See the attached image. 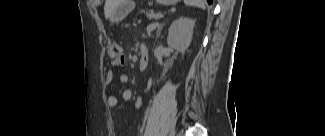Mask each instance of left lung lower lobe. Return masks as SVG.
Instances as JSON below:
<instances>
[{"mask_svg": "<svg viewBox=\"0 0 325 136\" xmlns=\"http://www.w3.org/2000/svg\"><path fill=\"white\" fill-rule=\"evenodd\" d=\"M207 1H208V3H209V4H211V3H212V0H207Z\"/></svg>", "mask_w": 325, "mask_h": 136, "instance_id": "left-lung-lower-lobe-1", "label": "left lung lower lobe"}]
</instances>
